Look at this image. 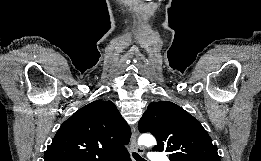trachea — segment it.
<instances>
[{
    "label": "trachea",
    "mask_w": 261,
    "mask_h": 161,
    "mask_svg": "<svg viewBox=\"0 0 261 161\" xmlns=\"http://www.w3.org/2000/svg\"><path fill=\"white\" fill-rule=\"evenodd\" d=\"M133 157L136 161H146L144 158H142L138 153L133 152Z\"/></svg>",
    "instance_id": "obj_1"
}]
</instances>
